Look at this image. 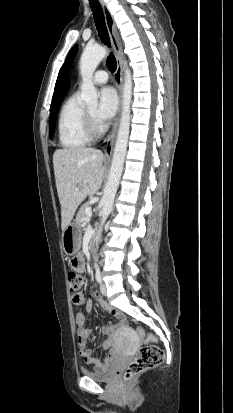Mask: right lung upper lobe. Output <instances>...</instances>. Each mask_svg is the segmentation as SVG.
Segmentation results:
<instances>
[{"mask_svg":"<svg viewBox=\"0 0 233 413\" xmlns=\"http://www.w3.org/2000/svg\"><path fill=\"white\" fill-rule=\"evenodd\" d=\"M69 85H70V81H69V79H67V80L65 81L64 85H63L62 94H66V93L68 92V90H69ZM61 100H62V97H60V98L58 99V101L55 103L54 106L51 105L50 109H51L52 107H55V106H57L58 104H60V103H61Z\"/></svg>","mask_w":233,"mask_h":413,"instance_id":"1","label":"right lung upper lobe"}]
</instances>
